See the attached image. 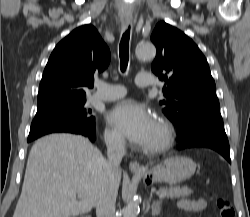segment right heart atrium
<instances>
[{
	"label": "right heart atrium",
	"instance_id": "d8ad5b80",
	"mask_svg": "<svg viewBox=\"0 0 250 217\" xmlns=\"http://www.w3.org/2000/svg\"><path fill=\"white\" fill-rule=\"evenodd\" d=\"M104 138L106 143L111 147L122 148L125 145L123 135L115 129L107 128L104 132Z\"/></svg>",
	"mask_w": 250,
	"mask_h": 217
}]
</instances>
